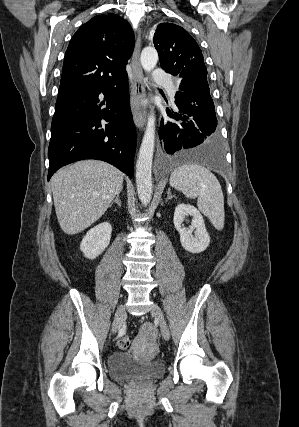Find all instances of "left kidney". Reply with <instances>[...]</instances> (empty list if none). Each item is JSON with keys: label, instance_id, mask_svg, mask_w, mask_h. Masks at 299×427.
I'll list each match as a JSON object with an SVG mask.
<instances>
[{"label": "left kidney", "instance_id": "obj_1", "mask_svg": "<svg viewBox=\"0 0 299 427\" xmlns=\"http://www.w3.org/2000/svg\"><path fill=\"white\" fill-rule=\"evenodd\" d=\"M187 216L193 218L189 229L182 227ZM174 226L180 234L182 247L190 253H201L209 246L210 237L205 227L201 213L192 205L179 204L175 208Z\"/></svg>", "mask_w": 299, "mask_h": 427}]
</instances>
